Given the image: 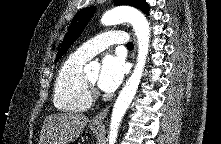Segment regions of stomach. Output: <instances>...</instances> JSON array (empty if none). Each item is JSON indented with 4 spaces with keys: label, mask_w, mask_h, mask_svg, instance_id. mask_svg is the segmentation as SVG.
<instances>
[{
    "label": "stomach",
    "mask_w": 221,
    "mask_h": 144,
    "mask_svg": "<svg viewBox=\"0 0 221 144\" xmlns=\"http://www.w3.org/2000/svg\"><path fill=\"white\" fill-rule=\"evenodd\" d=\"M90 128L93 131H99V130H101L102 126L101 125H98V126L90 125Z\"/></svg>",
    "instance_id": "obj_1"
}]
</instances>
